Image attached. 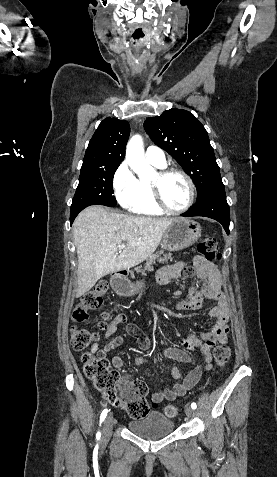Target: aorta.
<instances>
[{"label":"aorta","instance_id":"762f6f07","mask_svg":"<svg viewBox=\"0 0 277 477\" xmlns=\"http://www.w3.org/2000/svg\"><path fill=\"white\" fill-rule=\"evenodd\" d=\"M126 160L140 179L150 178L155 170L144 159L143 140L140 135L133 136L126 147Z\"/></svg>","mask_w":277,"mask_h":477}]
</instances>
